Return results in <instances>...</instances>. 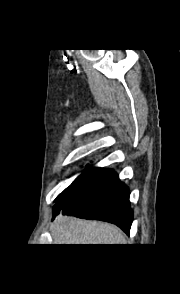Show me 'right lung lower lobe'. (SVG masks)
<instances>
[{
	"label": "right lung lower lobe",
	"instance_id": "right-lung-lower-lobe-1",
	"mask_svg": "<svg viewBox=\"0 0 180 294\" xmlns=\"http://www.w3.org/2000/svg\"><path fill=\"white\" fill-rule=\"evenodd\" d=\"M60 212L114 223L126 234L133 220L128 187L115 171L101 168L86 170L57 197L53 217Z\"/></svg>",
	"mask_w": 180,
	"mask_h": 294
}]
</instances>
